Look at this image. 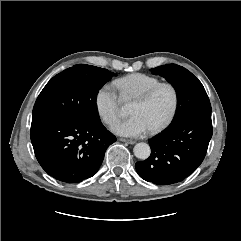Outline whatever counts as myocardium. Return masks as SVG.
Instances as JSON below:
<instances>
[{"mask_svg":"<svg viewBox=\"0 0 241 241\" xmlns=\"http://www.w3.org/2000/svg\"><path fill=\"white\" fill-rule=\"evenodd\" d=\"M163 88H167L171 91L173 98L172 106L168 115L158 125L150 129L151 133L162 131L173 121L179 107L178 89L172 83L160 82L134 99L135 102L146 103L150 101Z\"/></svg>","mask_w":241,"mask_h":241,"instance_id":"1","label":"myocardium"}]
</instances>
